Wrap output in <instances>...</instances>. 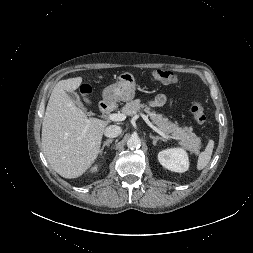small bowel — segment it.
<instances>
[{"label": "small bowel", "instance_id": "1", "mask_svg": "<svg viewBox=\"0 0 253 253\" xmlns=\"http://www.w3.org/2000/svg\"><path fill=\"white\" fill-rule=\"evenodd\" d=\"M165 102H166V96L163 95V94H159V95H157V96L154 98V100H152V101L150 102V105H151L152 107H161V106H163V105L165 104Z\"/></svg>", "mask_w": 253, "mask_h": 253}]
</instances>
